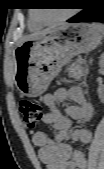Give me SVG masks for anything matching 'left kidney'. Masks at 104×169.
Here are the masks:
<instances>
[{
    "label": "left kidney",
    "instance_id": "5707ae66",
    "mask_svg": "<svg viewBox=\"0 0 104 169\" xmlns=\"http://www.w3.org/2000/svg\"><path fill=\"white\" fill-rule=\"evenodd\" d=\"M100 65L101 66L103 65V60L100 61ZM97 92H98L99 98L103 99V97H104V89L102 87H99Z\"/></svg>",
    "mask_w": 104,
    "mask_h": 169
}]
</instances>
